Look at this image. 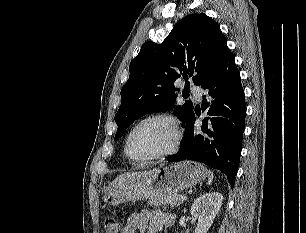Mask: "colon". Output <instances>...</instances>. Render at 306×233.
Listing matches in <instances>:
<instances>
[{"instance_id": "obj_1", "label": "colon", "mask_w": 306, "mask_h": 233, "mask_svg": "<svg viewBox=\"0 0 306 233\" xmlns=\"http://www.w3.org/2000/svg\"><path fill=\"white\" fill-rule=\"evenodd\" d=\"M103 230L105 233H123L124 227L117 219L106 217L103 221Z\"/></svg>"}]
</instances>
